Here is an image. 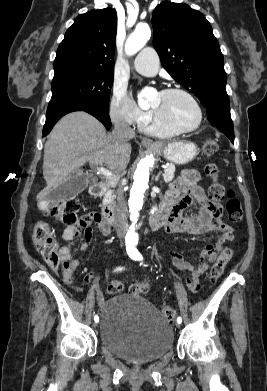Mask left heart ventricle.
Segmentation results:
<instances>
[{"label":"left heart ventricle","mask_w":267,"mask_h":391,"mask_svg":"<svg viewBox=\"0 0 267 391\" xmlns=\"http://www.w3.org/2000/svg\"><path fill=\"white\" fill-rule=\"evenodd\" d=\"M151 107L165 121L181 127L189 128L197 122V111L193 103L182 94H157Z\"/></svg>","instance_id":"left-heart-ventricle-1"}]
</instances>
